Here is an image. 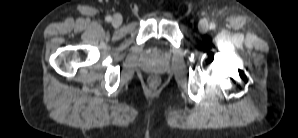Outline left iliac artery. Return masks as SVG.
I'll use <instances>...</instances> for the list:
<instances>
[{"mask_svg": "<svg viewBox=\"0 0 298 138\" xmlns=\"http://www.w3.org/2000/svg\"><path fill=\"white\" fill-rule=\"evenodd\" d=\"M215 28H216V24L215 23L212 22V23L209 24V29L210 30H214Z\"/></svg>", "mask_w": 298, "mask_h": 138, "instance_id": "44dca946", "label": "left iliac artery"}]
</instances>
